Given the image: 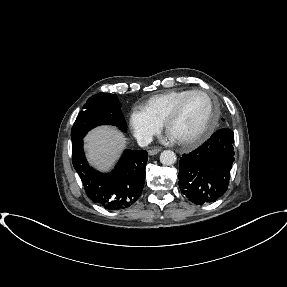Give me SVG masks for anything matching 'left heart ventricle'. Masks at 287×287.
<instances>
[{
  "label": "left heart ventricle",
  "mask_w": 287,
  "mask_h": 287,
  "mask_svg": "<svg viewBox=\"0 0 287 287\" xmlns=\"http://www.w3.org/2000/svg\"><path fill=\"white\" fill-rule=\"evenodd\" d=\"M211 104L201 94L191 96L183 105L178 117L169 125L167 135L181 141L202 132L209 120Z\"/></svg>",
  "instance_id": "obj_1"
}]
</instances>
